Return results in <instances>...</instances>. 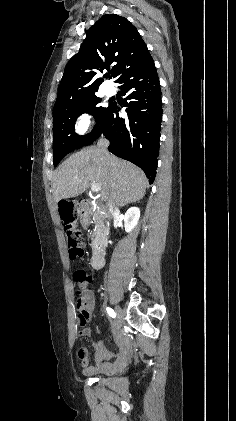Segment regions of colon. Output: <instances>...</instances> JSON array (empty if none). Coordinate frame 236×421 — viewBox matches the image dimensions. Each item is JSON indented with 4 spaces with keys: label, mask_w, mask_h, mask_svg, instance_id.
<instances>
[{
    "label": "colon",
    "mask_w": 236,
    "mask_h": 421,
    "mask_svg": "<svg viewBox=\"0 0 236 421\" xmlns=\"http://www.w3.org/2000/svg\"><path fill=\"white\" fill-rule=\"evenodd\" d=\"M63 220L65 233L68 239L69 257L72 260L79 259L84 254L82 234L74 217H71L68 206H65L63 209ZM73 281L79 295L83 296L91 285L92 279L83 268H77L73 272ZM78 317L80 324L85 325L88 319V312L82 306H79ZM86 351L87 350L84 347H80L78 355L83 357L86 354Z\"/></svg>",
    "instance_id": "colon-1"
}]
</instances>
